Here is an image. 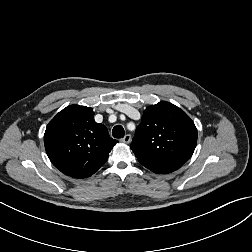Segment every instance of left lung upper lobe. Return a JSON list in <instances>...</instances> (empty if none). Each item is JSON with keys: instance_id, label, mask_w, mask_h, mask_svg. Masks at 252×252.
I'll return each mask as SVG.
<instances>
[{"instance_id": "5c2ea615", "label": "left lung upper lobe", "mask_w": 252, "mask_h": 252, "mask_svg": "<svg viewBox=\"0 0 252 252\" xmlns=\"http://www.w3.org/2000/svg\"><path fill=\"white\" fill-rule=\"evenodd\" d=\"M197 143V129L177 106L161 101L143 112L130 145L138 161L174 159L186 162Z\"/></svg>"}]
</instances>
